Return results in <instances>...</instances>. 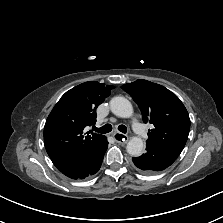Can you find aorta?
Returning a JSON list of instances; mask_svg holds the SVG:
<instances>
[{
	"mask_svg": "<svg viewBox=\"0 0 223 223\" xmlns=\"http://www.w3.org/2000/svg\"><path fill=\"white\" fill-rule=\"evenodd\" d=\"M112 113L121 118H130L133 115L131 102L122 96L113 97L110 101ZM127 152L135 157L142 155L144 149L143 140L140 137H132L127 144Z\"/></svg>",
	"mask_w": 223,
	"mask_h": 223,
	"instance_id": "aorta-1",
	"label": "aorta"
}]
</instances>
